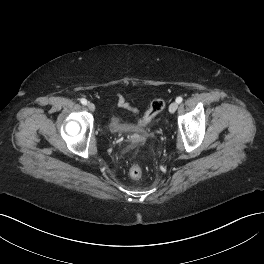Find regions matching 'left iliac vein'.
Returning a JSON list of instances; mask_svg holds the SVG:
<instances>
[{
	"label": "left iliac vein",
	"instance_id": "4c4485c4",
	"mask_svg": "<svg viewBox=\"0 0 264 264\" xmlns=\"http://www.w3.org/2000/svg\"><path fill=\"white\" fill-rule=\"evenodd\" d=\"M178 108V103L177 102H172L169 106V112L174 113Z\"/></svg>",
	"mask_w": 264,
	"mask_h": 264
}]
</instances>
